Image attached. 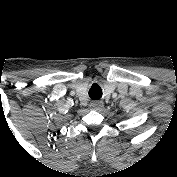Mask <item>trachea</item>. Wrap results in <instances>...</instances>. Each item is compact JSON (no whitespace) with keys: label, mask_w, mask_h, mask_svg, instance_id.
I'll return each instance as SVG.
<instances>
[{"label":"trachea","mask_w":177,"mask_h":177,"mask_svg":"<svg viewBox=\"0 0 177 177\" xmlns=\"http://www.w3.org/2000/svg\"><path fill=\"white\" fill-rule=\"evenodd\" d=\"M89 97L92 100H98L102 97V89L98 84H93L89 90Z\"/></svg>","instance_id":"1"}]
</instances>
